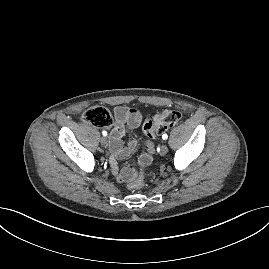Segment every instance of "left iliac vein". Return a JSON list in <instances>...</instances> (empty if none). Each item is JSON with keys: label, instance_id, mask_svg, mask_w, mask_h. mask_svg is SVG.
Here are the masks:
<instances>
[{"label": "left iliac vein", "instance_id": "4c4485c4", "mask_svg": "<svg viewBox=\"0 0 269 269\" xmlns=\"http://www.w3.org/2000/svg\"><path fill=\"white\" fill-rule=\"evenodd\" d=\"M159 152L161 155H165L168 152V147L166 144H162L160 146Z\"/></svg>", "mask_w": 269, "mask_h": 269}]
</instances>
